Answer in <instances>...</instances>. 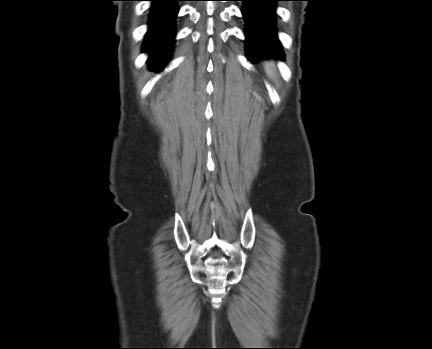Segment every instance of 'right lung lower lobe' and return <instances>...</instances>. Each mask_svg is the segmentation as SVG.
Wrapping results in <instances>:
<instances>
[{
	"label": "right lung lower lobe",
	"instance_id": "right-lung-lower-lobe-1",
	"mask_svg": "<svg viewBox=\"0 0 432 349\" xmlns=\"http://www.w3.org/2000/svg\"><path fill=\"white\" fill-rule=\"evenodd\" d=\"M152 1L151 20L144 42V51L149 52L148 62L152 70L161 71L169 58L174 40V20L178 14L179 0Z\"/></svg>",
	"mask_w": 432,
	"mask_h": 349
}]
</instances>
